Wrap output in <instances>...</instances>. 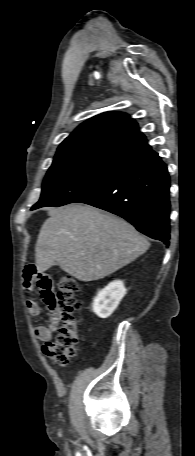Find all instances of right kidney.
I'll return each instance as SVG.
<instances>
[{"instance_id": "right-kidney-1", "label": "right kidney", "mask_w": 195, "mask_h": 456, "mask_svg": "<svg viewBox=\"0 0 195 456\" xmlns=\"http://www.w3.org/2000/svg\"><path fill=\"white\" fill-rule=\"evenodd\" d=\"M126 294V288L121 280L110 282L101 289L93 300L92 310L100 318L109 317L118 307Z\"/></svg>"}]
</instances>
